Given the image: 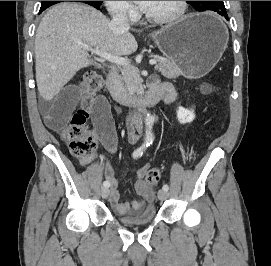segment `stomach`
<instances>
[{
    "label": "stomach",
    "instance_id": "1",
    "mask_svg": "<svg viewBox=\"0 0 271 266\" xmlns=\"http://www.w3.org/2000/svg\"><path fill=\"white\" fill-rule=\"evenodd\" d=\"M151 38L159 50L173 60L181 75L198 79L208 74L222 57L229 34L213 14H192L156 32Z\"/></svg>",
    "mask_w": 271,
    "mask_h": 266
}]
</instances>
